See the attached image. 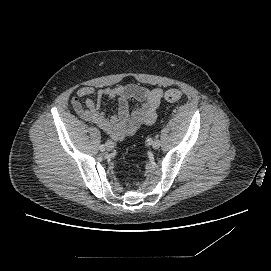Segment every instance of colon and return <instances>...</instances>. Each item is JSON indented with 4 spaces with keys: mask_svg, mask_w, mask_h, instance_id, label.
Segmentation results:
<instances>
[{
    "mask_svg": "<svg viewBox=\"0 0 271 271\" xmlns=\"http://www.w3.org/2000/svg\"><path fill=\"white\" fill-rule=\"evenodd\" d=\"M182 93L177 89H169L165 92L164 98L167 102L174 103L181 99Z\"/></svg>",
    "mask_w": 271,
    "mask_h": 271,
    "instance_id": "colon-1",
    "label": "colon"
}]
</instances>
